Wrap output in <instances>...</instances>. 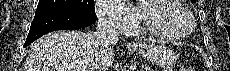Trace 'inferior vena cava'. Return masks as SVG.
<instances>
[{
  "mask_svg": "<svg viewBox=\"0 0 230 71\" xmlns=\"http://www.w3.org/2000/svg\"><path fill=\"white\" fill-rule=\"evenodd\" d=\"M94 38L97 45L109 46L117 42L116 29L106 17L99 16Z\"/></svg>",
  "mask_w": 230,
  "mask_h": 71,
  "instance_id": "obj_1",
  "label": "inferior vena cava"
}]
</instances>
